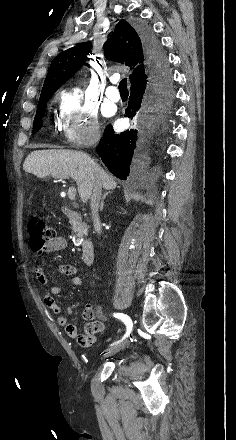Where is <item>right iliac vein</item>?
Instances as JSON below:
<instances>
[{
  "mask_svg": "<svg viewBox=\"0 0 236 440\" xmlns=\"http://www.w3.org/2000/svg\"><path fill=\"white\" fill-rule=\"evenodd\" d=\"M125 342L116 344L115 346L111 347L110 349H108L106 355H113L116 354L118 351H120V349L124 346Z\"/></svg>",
  "mask_w": 236,
  "mask_h": 440,
  "instance_id": "obj_1",
  "label": "right iliac vein"
}]
</instances>
